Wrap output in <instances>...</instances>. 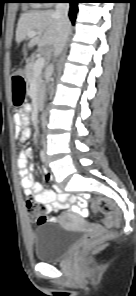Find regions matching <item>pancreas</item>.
Segmentation results:
<instances>
[{"label":"pancreas","instance_id":"1","mask_svg":"<svg viewBox=\"0 0 136 296\" xmlns=\"http://www.w3.org/2000/svg\"><path fill=\"white\" fill-rule=\"evenodd\" d=\"M34 66H35V61L34 59H32L31 62L26 65L25 76L28 84H31L33 81H35L37 94L40 95L43 91L42 75L41 73L38 75L34 74Z\"/></svg>","mask_w":136,"mask_h":296}]
</instances>
